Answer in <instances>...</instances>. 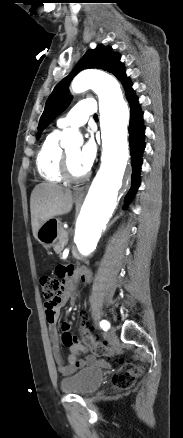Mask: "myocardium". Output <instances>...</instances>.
Listing matches in <instances>:
<instances>
[{
    "label": "myocardium",
    "mask_w": 183,
    "mask_h": 438,
    "mask_svg": "<svg viewBox=\"0 0 183 438\" xmlns=\"http://www.w3.org/2000/svg\"><path fill=\"white\" fill-rule=\"evenodd\" d=\"M60 173L63 180L70 183H79L86 180L89 177V171H86L81 176H74L71 174L69 168V159L66 151L62 152L61 162H60Z\"/></svg>",
    "instance_id": "obj_1"
}]
</instances>
